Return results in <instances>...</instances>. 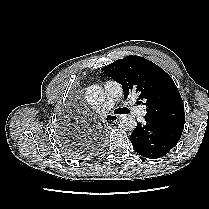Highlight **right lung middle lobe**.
<instances>
[{
	"label": "right lung middle lobe",
	"mask_w": 209,
	"mask_h": 209,
	"mask_svg": "<svg viewBox=\"0 0 209 209\" xmlns=\"http://www.w3.org/2000/svg\"><path fill=\"white\" fill-rule=\"evenodd\" d=\"M70 153L75 155L77 152H75V150L72 149V150H70Z\"/></svg>",
	"instance_id": "1"
}]
</instances>
